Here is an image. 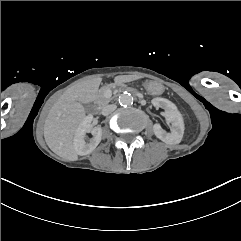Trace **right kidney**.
Returning a JSON list of instances; mask_svg holds the SVG:
<instances>
[{
	"mask_svg": "<svg viewBox=\"0 0 241 241\" xmlns=\"http://www.w3.org/2000/svg\"><path fill=\"white\" fill-rule=\"evenodd\" d=\"M92 120V115L87 116L75 131L74 147L78 155L84 156L90 154L95 150L102 139L101 126H94ZM87 133L93 135L88 142H86L88 139Z\"/></svg>",
	"mask_w": 241,
	"mask_h": 241,
	"instance_id": "obj_1",
	"label": "right kidney"
}]
</instances>
